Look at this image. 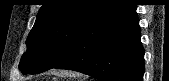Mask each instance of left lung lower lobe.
Here are the masks:
<instances>
[{"mask_svg": "<svg viewBox=\"0 0 169 81\" xmlns=\"http://www.w3.org/2000/svg\"><path fill=\"white\" fill-rule=\"evenodd\" d=\"M133 0H115L79 35L68 56L53 68L101 81H142L144 49Z\"/></svg>", "mask_w": 169, "mask_h": 81, "instance_id": "left-lung-lower-lobe-1", "label": "left lung lower lobe"}]
</instances>
